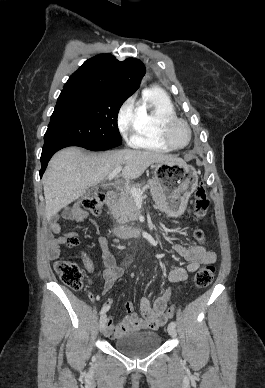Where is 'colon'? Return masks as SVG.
<instances>
[{
  "instance_id": "1",
  "label": "colon",
  "mask_w": 265,
  "mask_h": 388,
  "mask_svg": "<svg viewBox=\"0 0 265 388\" xmlns=\"http://www.w3.org/2000/svg\"><path fill=\"white\" fill-rule=\"evenodd\" d=\"M105 201L104 192H97L82 200V206L91 214L98 215L102 211ZM209 199L202 183L197 187L194 194V214L196 220H202L208 211ZM194 237L198 241L204 240V233L200 229L194 231ZM55 272L59 275L61 281L73 290H80L83 287V273L79 266L67 260H57L54 263ZM215 274V268L208 264L200 268L195 276L194 283L198 288H205L211 284ZM175 307L169 306L166 310V316H174Z\"/></svg>"
}]
</instances>
